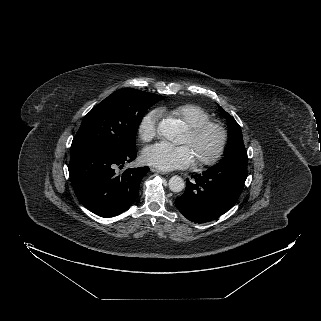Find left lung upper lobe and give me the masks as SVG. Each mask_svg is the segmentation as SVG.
I'll return each instance as SVG.
<instances>
[{"label":"left lung upper lobe","mask_w":321,"mask_h":321,"mask_svg":"<svg viewBox=\"0 0 321 321\" xmlns=\"http://www.w3.org/2000/svg\"><path fill=\"white\" fill-rule=\"evenodd\" d=\"M222 115L227 118L228 127L230 129L229 132V143L226 148L224 157L222 161L243 158L247 159V152L243 142V136L241 132V128L235 119L221 107H219Z\"/></svg>","instance_id":"1"}]
</instances>
